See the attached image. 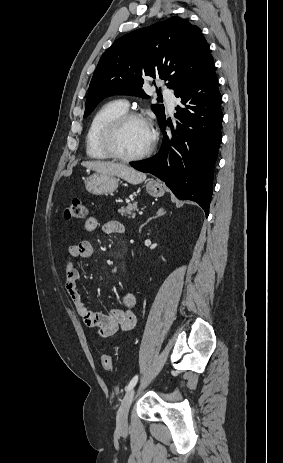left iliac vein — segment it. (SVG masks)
I'll return each mask as SVG.
<instances>
[{
  "mask_svg": "<svg viewBox=\"0 0 283 463\" xmlns=\"http://www.w3.org/2000/svg\"><path fill=\"white\" fill-rule=\"evenodd\" d=\"M134 397V389L131 388L127 393L125 394L120 408L117 412V427L121 430L125 429L128 425V412L131 406V403L133 401Z\"/></svg>",
  "mask_w": 283,
  "mask_h": 463,
  "instance_id": "obj_1",
  "label": "left iliac vein"
}]
</instances>
